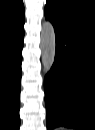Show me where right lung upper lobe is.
Masks as SVG:
<instances>
[{"label": "right lung upper lobe", "mask_w": 95, "mask_h": 130, "mask_svg": "<svg viewBox=\"0 0 95 130\" xmlns=\"http://www.w3.org/2000/svg\"><path fill=\"white\" fill-rule=\"evenodd\" d=\"M24 22L22 0H0V39L23 29Z\"/></svg>", "instance_id": "right-lung-upper-lobe-1"}]
</instances>
